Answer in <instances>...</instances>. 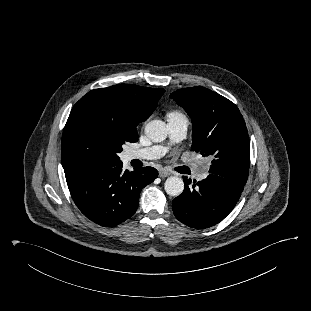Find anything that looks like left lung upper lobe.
Returning <instances> with one entry per match:
<instances>
[{
  "label": "left lung upper lobe",
  "mask_w": 311,
  "mask_h": 311,
  "mask_svg": "<svg viewBox=\"0 0 311 311\" xmlns=\"http://www.w3.org/2000/svg\"><path fill=\"white\" fill-rule=\"evenodd\" d=\"M191 117L192 151L212 159L210 174L246 184L249 136L238 107L204 87L179 89L170 95Z\"/></svg>",
  "instance_id": "1"
}]
</instances>
